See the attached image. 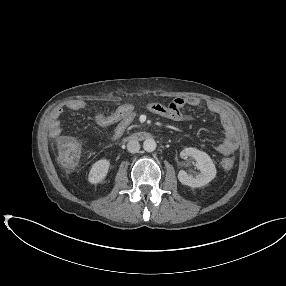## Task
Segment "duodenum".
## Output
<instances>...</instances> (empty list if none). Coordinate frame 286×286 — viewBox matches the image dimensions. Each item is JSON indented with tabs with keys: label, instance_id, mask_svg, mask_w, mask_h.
Returning <instances> with one entry per match:
<instances>
[{
	"label": "duodenum",
	"instance_id": "1",
	"mask_svg": "<svg viewBox=\"0 0 286 286\" xmlns=\"http://www.w3.org/2000/svg\"><path fill=\"white\" fill-rule=\"evenodd\" d=\"M149 138V134L145 132H138L128 137L129 140H145Z\"/></svg>",
	"mask_w": 286,
	"mask_h": 286
}]
</instances>
